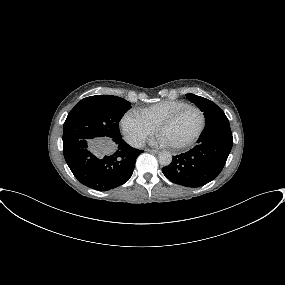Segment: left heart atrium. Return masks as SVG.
I'll return each instance as SVG.
<instances>
[{
	"mask_svg": "<svg viewBox=\"0 0 285 285\" xmlns=\"http://www.w3.org/2000/svg\"><path fill=\"white\" fill-rule=\"evenodd\" d=\"M156 142L161 145H169L166 139L161 135L157 137Z\"/></svg>",
	"mask_w": 285,
	"mask_h": 285,
	"instance_id": "39dd6f15",
	"label": "left heart atrium"
}]
</instances>
